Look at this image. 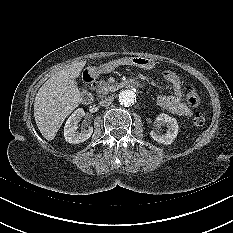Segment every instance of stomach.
<instances>
[{
	"label": "stomach",
	"instance_id": "0dacf381",
	"mask_svg": "<svg viewBox=\"0 0 233 233\" xmlns=\"http://www.w3.org/2000/svg\"><path fill=\"white\" fill-rule=\"evenodd\" d=\"M127 65H135L139 68L149 70L154 67L155 62L148 57H136L133 54L115 55L112 57L111 61L104 63V67L93 68V70L97 72H112L115 68L126 67Z\"/></svg>",
	"mask_w": 233,
	"mask_h": 233
}]
</instances>
